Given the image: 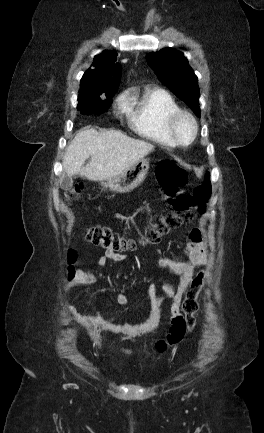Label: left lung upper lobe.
I'll list each match as a JSON object with an SVG mask.
<instances>
[{
	"label": "left lung upper lobe",
	"mask_w": 264,
	"mask_h": 433,
	"mask_svg": "<svg viewBox=\"0 0 264 433\" xmlns=\"http://www.w3.org/2000/svg\"><path fill=\"white\" fill-rule=\"evenodd\" d=\"M146 59L160 81L200 115L198 79L183 53L165 48Z\"/></svg>",
	"instance_id": "5c2ea615"
}]
</instances>
